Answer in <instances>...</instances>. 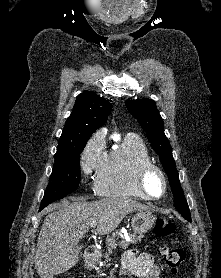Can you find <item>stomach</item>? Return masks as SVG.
<instances>
[{"mask_svg":"<svg viewBox=\"0 0 221 278\" xmlns=\"http://www.w3.org/2000/svg\"><path fill=\"white\" fill-rule=\"evenodd\" d=\"M156 216L151 211L136 213L131 221V226L135 234L140 236L147 233L155 224Z\"/></svg>","mask_w":221,"mask_h":278,"instance_id":"stomach-1","label":"stomach"}]
</instances>
